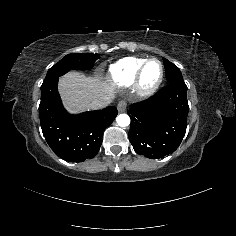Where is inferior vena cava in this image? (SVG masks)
<instances>
[{"instance_id":"602c4592","label":"inferior vena cava","mask_w":236,"mask_h":236,"mask_svg":"<svg viewBox=\"0 0 236 236\" xmlns=\"http://www.w3.org/2000/svg\"><path fill=\"white\" fill-rule=\"evenodd\" d=\"M106 105H108V103H105L103 100L95 99L88 104V108L91 110H98L104 108Z\"/></svg>"}]
</instances>
